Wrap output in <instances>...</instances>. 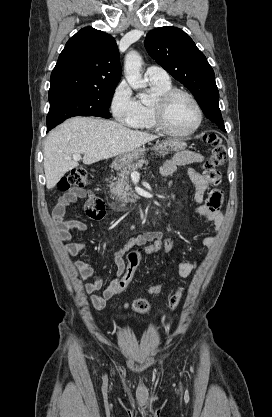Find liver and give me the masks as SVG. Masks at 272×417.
Masks as SVG:
<instances>
[{
	"label": "liver",
	"mask_w": 272,
	"mask_h": 417,
	"mask_svg": "<svg viewBox=\"0 0 272 417\" xmlns=\"http://www.w3.org/2000/svg\"><path fill=\"white\" fill-rule=\"evenodd\" d=\"M156 138L115 121L93 117L68 119L46 138L43 163L47 187L53 188L65 173L79 166L73 154H83V163L90 165L130 152Z\"/></svg>",
	"instance_id": "6515ba94"
}]
</instances>
